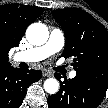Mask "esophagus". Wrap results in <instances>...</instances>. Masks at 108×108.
<instances>
[{
    "mask_svg": "<svg viewBox=\"0 0 108 108\" xmlns=\"http://www.w3.org/2000/svg\"><path fill=\"white\" fill-rule=\"evenodd\" d=\"M53 74L49 71H43V76L44 77H51Z\"/></svg>",
    "mask_w": 108,
    "mask_h": 108,
    "instance_id": "obj_1",
    "label": "esophagus"
}]
</instances>
